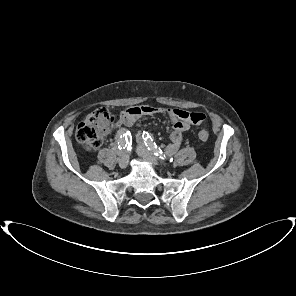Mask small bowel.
<instances>
[{
    "label": "small bowel",
    "mask_w": 296,
    "mask_h": 296,
    "mask_svg": "<svg viewBox=\"0 0 296 296\" xmlns=\"http://www.w3.org/2000/svg\"><path fill=\"white\" fill-rule=\"evenodd\" d=\"M197 112H189L178 108H159L151 105H139L130 107L120 114V124L129 127L140 117L147 115L166 114L172 121V131L170 134V144L167 146L169 153L176 152L183 140L184 133L191 125H198L201 122H193L191 115Z\"/></svg>",
    "instance_id": "small-bowel-1"
}]
</instances>
